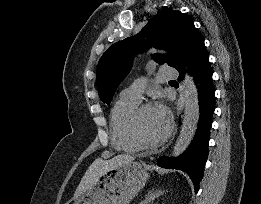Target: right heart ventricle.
Returning a JSON list of instances; mask_svg holds the SVG:
<instances>
[{
  "instance_id": "1",
  "label": "right heart ventricle",
  "mask_w": 261,
  "mask_h": 204,
  "mask_svg": "<svg viewBox=\"0 0 261 204\" xmlns=\"http://www.w3.org/2000/svg\"><path fill=\"white\" fill-rule=\"evenodd\" d=\"M139 102L120 97L113 105L109 124L113 147L121 152L134 153L140 147L133 141L128 131V121Z\"/></svg>"
}]
</instances>
